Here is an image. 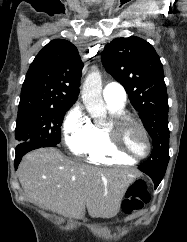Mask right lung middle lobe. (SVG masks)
<instances>
[{
  "label": "right lung middle lobe",
  "instance_id": "obj_1",
  "mask_svg": "<svg viewBox=\"0 0 187 242\" xmlns=\"http://www.w3.org/2000/svg\"><path fill=\"white\" fill-rule=\"evenodd\" d=\"M68 109L21 108L18 109L15 139L59 146L64 115Z\"/></svg>",
  "mask_w": 187,
  "mask_h": 242
}]
</instances>
